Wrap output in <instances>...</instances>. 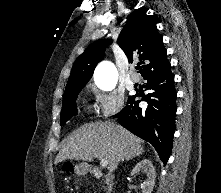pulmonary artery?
I'll list each match as a JSON object with an SVG mask.
<instances>
[{"mask_svg": "<svg viewBox=\"0 0 221 193\" xmlns=\"http://www.w3.org/2000/svg\"><path fill=\"white\" fill-rule=\"evenodd\" d=\"M130 80L132 83H138L140 81V76L137 73H132L130 75Z\"/></svg>", "mask_w": 221, "mask_h": 193, "instance_id": "pulmonary-artery-1", "label": "pulmonary artery"}]
</instances>
